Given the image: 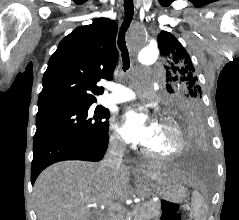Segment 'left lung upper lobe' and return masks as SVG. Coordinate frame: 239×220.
Here are the masks:
<instances>
[{"label":"left lung upper lobe","instance_id":"left-lung-upper-lobe-1","mask_svg":"<svg viewBox=\"0 0 239 220\" xmlns=\"http://www.w3.org/2000/svg\"><path fill=\"white\" fill-rule=\"evenodd\" d=\"M158 43L165 60L167 107L171 115L175 117L187 108H203L201 87L189 54L169 32L161 31Z\"/></svg>","mask_w":239,"mask_h":220}]
</instances>
